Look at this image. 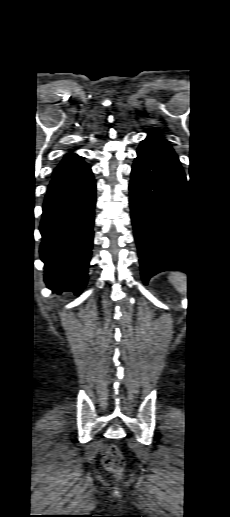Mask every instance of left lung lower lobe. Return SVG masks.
I'll use <instances>...</instances> for the list:
<instances>
[{"instance_id": "0a47b994", "label": "left lung lower lobe", "mask_w": 230, "mask_h": 517, "mask_svg": "<svg viewBox=\"0 0 230 517\" xmlns=\"http://www.w3.org/2000/svg\"><path fill=\"white\" fill-rule=\"evenodd\" d=\"M134 235L146 284L162 271L189 273L186 257V176L171 146L146 138L137 150L129 184Z\"/></svg>"}]
</instances>
